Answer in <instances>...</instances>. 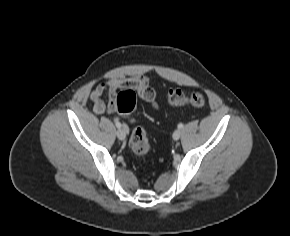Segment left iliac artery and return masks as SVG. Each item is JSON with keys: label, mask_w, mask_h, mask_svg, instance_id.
Wrapping results in <instances>:
<instances>
[{"label": "left iliac artery", "mask_w": 290, "mask_h": 236, "mask_svg": "<svg viewBox=\"0 0 290 236\" xmlns=\"http://www.w3.org/2000/svg\"><path fill=\"white\" fill-rule=\"evenodd\" d=\"M178 128L179 129L183 128V124L182 123L178 124Z\"/></svg>", "instance_id": "44dca946"}]
</instances>
